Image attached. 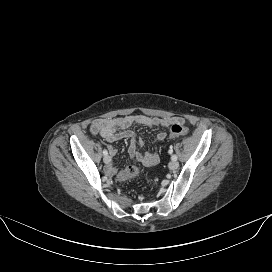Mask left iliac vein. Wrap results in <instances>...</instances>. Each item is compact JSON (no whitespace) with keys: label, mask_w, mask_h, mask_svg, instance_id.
<instances>
[{"label":"left iliac vein","mask_w":272,"mask_h":272,"mask_svg":"<svg viewBox=\"0 0 272 272\" xmlns=\"http://www.w3.org/2000/svg\"><path fill=\"white\" fill-rule=\"evenodd\" d=\"M179 166V163L177 161H171L169 164H168V167L169 169L171 170H176Z\"/></svg>","instance_id":"1"}]
</instances>
